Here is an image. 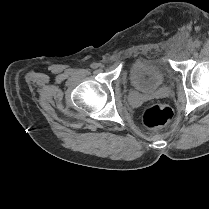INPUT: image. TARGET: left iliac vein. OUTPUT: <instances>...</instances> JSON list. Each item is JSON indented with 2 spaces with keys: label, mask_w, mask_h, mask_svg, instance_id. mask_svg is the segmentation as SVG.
<instances>
[{
  "label": "left iliac vein",
  "mask_w": 209,
  "mask_h": 209,
  "mask_svg": "<svg viewBox=\"0 0 209 209\" xmlns=\"http://www.w3.org/2000/svg\"><path fill=\"white\" fill-rule=\"evenodd\" d=\"M194 49V45L192 44L190 47H189V50L192 51Z\"/></svg>",
  "instance_id": "left-iliac-vein-1"
}]
</instances>
